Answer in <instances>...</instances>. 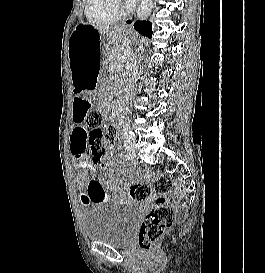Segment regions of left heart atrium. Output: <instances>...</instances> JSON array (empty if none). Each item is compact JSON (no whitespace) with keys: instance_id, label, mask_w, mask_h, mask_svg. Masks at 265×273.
I'll return each mask as SVG.
<instances>
[{"instance_id":"obj_1","label":"left heart atrium","mask_w":265,"mask_h":273,"mask_svg":"<svg viewBox=\"0 0 265 273\" xmlns=\"http://www.w3.org/2000/svg\"><path fill=\"white\" fill-rule=\"evenodd\" d=\"M128 1L132 2V1H134V0H128Z\"/></svg>"}]
</instances>
